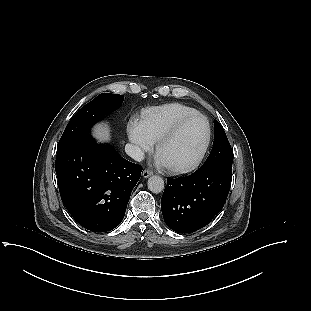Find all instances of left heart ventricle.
<instances>
[{
	"label": "left heart ventricle",
	"mask_w": 311,
	"mask_h": 311,
	"mask_svg": "<svg viewBox=\"0 0 311 311\" xmlns=\"http://www.w3.org/2000/svg\"><path fill=\"white\" fill-rule=\"evenodd\" d=\"M205 138L204 120L193 118L182 126L174 138L161 147L158 156L167 166L187 164L195 159Z\"/></svg>",
	"instance_id": "left-heart-ventricle-1"
}]
</instances>
